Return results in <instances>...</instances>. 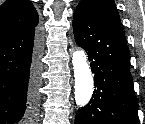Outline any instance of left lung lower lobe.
I'll use <instances>...</instances> for the list:
<instances>
[{"mask_svg":"<svg viewBox=\"0 0 145 124\" xmlns=\"http://www.w3.org/2000/svg\"><path fill=\"white\" fill-rule=\"evenodd\" d=\"M73 30L91 61L96 88L89 103L78 110L75 124H139L123 31L82 9L75 10Z\"/></svg>","mask_w":145,"mask_h":124,"instance_id":"obj_1","label":"left lung lower lobe"}]
</instances>
